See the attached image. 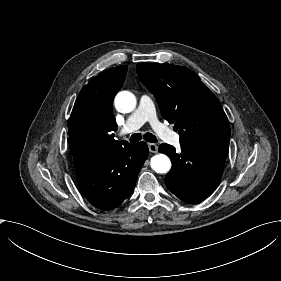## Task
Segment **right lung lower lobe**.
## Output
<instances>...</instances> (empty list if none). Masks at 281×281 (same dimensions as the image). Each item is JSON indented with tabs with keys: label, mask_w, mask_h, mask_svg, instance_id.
<instances>
[{
	"label": "right lung lower lobe",
	"mask_w": 281,
	"mask_h": 281,
	"mask_svg": "<svg viewBox=\"0 0 281 281\" xmlns=\"http://www.w3.org/2000/svg\"><path fill=\"white\" fill-rule=\"evenodd\" d=\"M148 152L145 142L78 151L73 159L81 192L98 209L120 206L133 192Z\"/></svg>",
	"instance_id": "98d812e1"
}]
</instances>
